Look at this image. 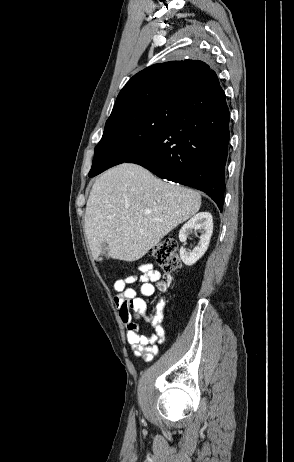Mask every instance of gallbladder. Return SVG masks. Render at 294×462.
<instances>
[{"label":"gallbladder","mask_w":294,"mask_h":462,"mask_svg":"<svg viewBox=\"0 0 294 462\" xmlns=\"http://www.w3.org/2000/svg\"><path fill=\"white\" fill-rule=\"evenodd\" d=\"M107 250H108V245L107 243H103L102 244V249H101V254L104 255L107 253Z\"/></svg>","instance_id":"obj_1"}]
</instances>
